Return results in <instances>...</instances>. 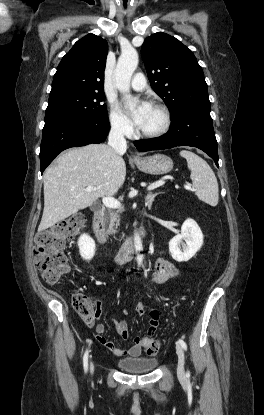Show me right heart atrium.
Here are the masks:
<instances>
[{
	"instance_id": "right-heart-atrium-1",
	"label": "right heart atrium",
	"mask_w": 264,
	"mask_h": 415,
	"mask_svg": "<svg viewBox=\"0 0 264 415\" xmlns=\"http://www.w3.org/2000/svg\"><path fill=\"white\" fill-rule=\"evenodd\" d=\"M110 124L111 128L118 134L130 136L133 133V127L128 117L120 110L118 105L112 101L110 103Z\"/></svg>"
}]
</instances>
